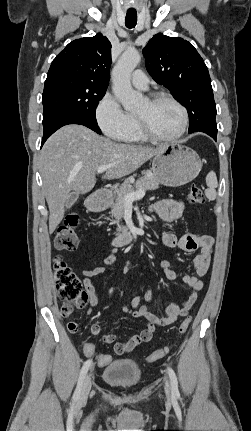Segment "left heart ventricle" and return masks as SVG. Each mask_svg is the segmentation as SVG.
<instances>
[{
    "mask_svg": "<svg viewBox=\"0 0 251 431\" xmlns=\"http://www.w3.org/2000/svg\"><path fill=\"white\" fill-rule=\"evenodd\" d=\"M158 135L168 137L176 134L182 124V114L176 105L168 101L150 104L145 101L136 111Z\"/></svg>",
    "mask_w": 251,
    "mask_h": 431,
    "instance_id": "b2bd125f",
    "label": "left heart ventricle"
}]
</instances>
